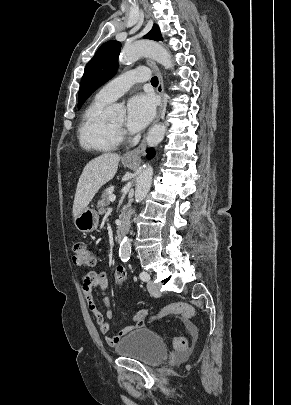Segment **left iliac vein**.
Segmentation results:
<instances>
[{"mask_svg":"<svg viewBox=\"0 0 291 405\" xmlns=\"http://www.w3.org/2000/svg\"><path fill=\"white\" fill-rule=\"evenodd\" d=\"M147 289L152 296L158 297L161 294L157 284L152 280H148Z\"/></svg>","mask_w":291,"mask_h":405,"instance_id":"4c4485c4","label":"left iliac vein"}]
</instances>
